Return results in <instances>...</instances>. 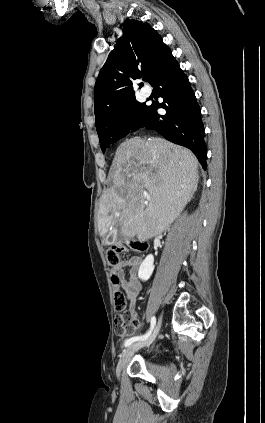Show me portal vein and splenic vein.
Returning a JSON list of instances; mask_svg holds the SVG:
<instances>
[{
	"label": "portal vein and splenic vein",
	"instance_id": "obj_1",
	"mask_svg": "<svg viewBox=\"0 0 265 423\" xmlns=\"http://www.w3.org/2000/svg\"><path fill=\"white\" fill-rule=\"evenodd\" d=\"M146 199L149 200L150 199V196L149 195H146Z\"/></svg>",
	"mask_w": 265,
	"mask_h": 423
}]
</instances>
